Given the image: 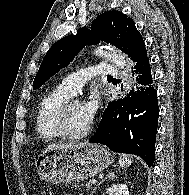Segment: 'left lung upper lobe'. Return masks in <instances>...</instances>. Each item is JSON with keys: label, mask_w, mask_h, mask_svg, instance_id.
I'll return each instance as SVG.
<instances>
[{"label": "left lung upper lobe", "mask_w": 189, "mask_h": 195, "mask_svg": "<svg viewBox=\"0 0 189 195\" xmlns=\"http://www.w3.org/2000/svg\"><path fill=\"white\" fill-rule=\"evenodd\" d=\"M110 43L136 64L147 57V50L135 23L123 13L108 11L99 15L91 28H81L75 35L66 36L57 41L46 53L33 82L38 89L61 68L66 67L85 45Z\"/></svg>", "instance_id": "5c2ea615"}]
</instances>
